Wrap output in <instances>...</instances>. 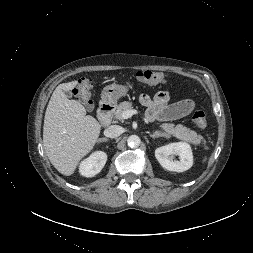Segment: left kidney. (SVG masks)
I'll return each mask as SVG.
<instances>
[{
    "label": "left kidney",
    "mask_w": 253,
    "mask_h": 253,
    "mask_svg": "<svg viewBox=\"0 0 253 253\" xmlns=\"http://www.w3.org/2000/svg\"><path fill=\"white\" fill-rule=\"evenodd\" d=\"M174 155L179 156L178 160H173ZM155 157L160 165L175 172H183L193 165V154L191 147L186 142L170 143L155 150Z\"/></svg>",
    "instance_id": "1"
}]
</instances>
